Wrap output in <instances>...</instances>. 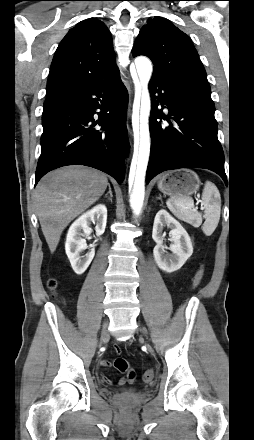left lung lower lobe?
<instances>
[{"label": "left lung lower lobe", "mask_w": 254, "mask_h": 440, "mask_svg": "<svg viewBox=\"0 0 254 440\" xmlns=\"http://www.w3.org/2000/svg\"><path fill=\"white\" fill-rule=\"evenodd\" d=\"M149 90L151 152L146 183L166 170L205 168L216 172L227 184L214 103L192 93L179 92L159 75H152ZM159 105L168 108V116L157 110ZM157 119H164L170 125H161Z\"/></svg>", "instance_id": "obj_1"}]
</instances>
